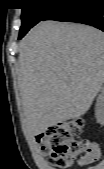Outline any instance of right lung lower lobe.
Listing matches in <instances>:
<instances>
[{
	"label": "right lung lower lobe",
	"mask_w": 104,
	"mask_h": 169,
	"mask_svg": "<svg viewBox=\"0 0 104 169\" xmlns=\"http://www.w3.org/2000/svg\"><path fill=\"white\" fill-rule=\"evenodd\" d=\"M58 5L44 20L69 21L104 31V0H56Z\"/></svg>",
	"instance_id": "1"
}]
</instances>
